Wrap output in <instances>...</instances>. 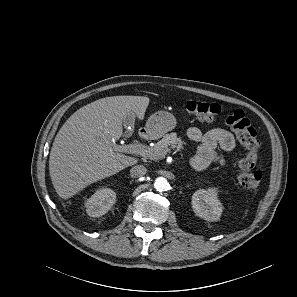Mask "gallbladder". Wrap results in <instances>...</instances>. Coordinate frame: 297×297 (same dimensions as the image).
<instances>
[{"mask_svg": "<svg viewBox=\"0 0 297 297\" xmlns=\"http://www.w3.org/2000/svg\"><path fill=\"white\" fill-rule=\"evenodd\" d=\"M134 123H135V115H133V114H128L123 119V125L125 127H133Z\"/></svg>", "mask_w": 297, "mask_h": 297, "instance_id": "1", "label": "gallbladder"}]
</instances>
